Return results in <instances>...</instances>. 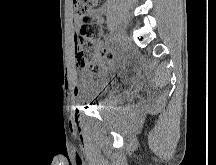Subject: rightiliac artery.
<instances>
[{
    "instance_id": "right-iliac-artery-1",
    "label": "right iliac artery",
    "mask_w": 216,
    "mask_h": 165,
    "mask_svg": "<svg viewBox=\"0 0 216 165\" xmlns=\"http://www.w3.org/2000/svg\"><path fill=\"white\" fill-rule=\"evenodd\" d=\"M115 38L113 37L112 33L109 35V41L113 44L115 41Z\"/></svg>"
}]
</instances>
